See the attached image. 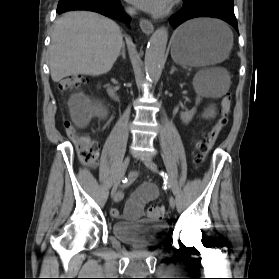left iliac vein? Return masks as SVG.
<instances>
[{
	"label": "left iliac vein",
	"instance_id": "obj_1",
	"mask_svg": "<svg viewBox=\"0 0 279 279\" xmlns=\"http://www.w3.org/2000/svg\"><path fill=\"white\" fill-rule=\"evenodd\" d=\"M142 162L144 163V165L146 167H148L151 171L157 173L158 169H157V165L151 160L149 159L148 157H143L142 158ZM169 204H170V207L173 209L175 208V205H176V202H175V199L173 196H170L169 198Z\"/></svg>",
	"mask_w": 279,
	"mask_h": 279
}]
</instances>
